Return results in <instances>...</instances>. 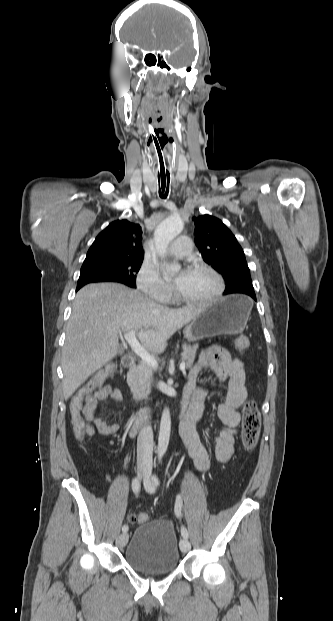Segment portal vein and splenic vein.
Returning <instances> with one entry per match:
<instances>
[{"mask_svg": "<svg viewBox=\"0 0 333 621\" xmlns=\"http://www.w3.org/2000/svg\"><path fill=\"white\" fill-rule=\"evenodd\" d=\"M124 338H125L126 342H128V344L130 345L132 350L142 359L143 362H145L146 364H148L149 366H152L154 368L158 367V363L155 360V358L152 355H150L147 352V350L137 340V338L135 336V331L134 330H130L129 332H125L124 333ZM179 368H180V370H185L186 363L184 361L181 362Z\"/></svg>", "mask_w": 333, "mask_h": 621, "instance_id": "obj_1", "label": "portal vein and splenic vein"}]
</instances>
